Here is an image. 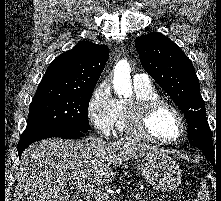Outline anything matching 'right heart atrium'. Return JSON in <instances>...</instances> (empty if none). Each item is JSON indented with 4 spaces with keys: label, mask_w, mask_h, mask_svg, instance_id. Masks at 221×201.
<instances>
[{
    "label": "right heart atrium",
    "mask_w": 221,
    "mask_h": 201,
    "mask_svg": "<svg viewBox=\"0 0 221 201\" xmlns=\"http://www.w3.org/2000/svg\"><path fill=\"white\" fill-rule=\"evenodd\" d=\"M87 116L101 134L108 135L114 128L118 117V100L114 98L107 82L100 83L93 91L87 106Z\"/></svg>",
    "instance_id": "right-heart-atrium-1"
}]
</instances>
